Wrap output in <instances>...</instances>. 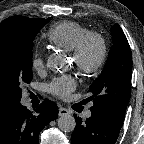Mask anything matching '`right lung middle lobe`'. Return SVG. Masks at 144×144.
Returning <instances> with one entry per match:
<instances>
[{"label":"right lung middle lobe","instance_id":"dd1d6c3e","mask_svg":"<svg viewBox=\"0 0 144 144\" xmlns=\"http://www.w3.org/2000/svg\"><path fill=\"white\" fill-rule=\"evenodd\" d=\"M49 19L21 20L0 30V85L18 104L21 87L32 80L33 39Z\"/></svg>","mask_w":144,"mask_h":144}]
</instances>
